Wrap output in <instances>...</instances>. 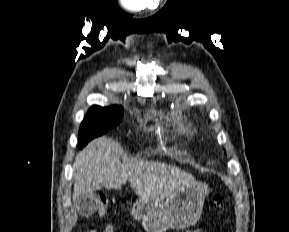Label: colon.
<instances>
[{"label":"colon","mask_w":289,"mask_h":232,"mask_svg":"<svg viewBox=\"0 0 289 232\" xmlns=\"http://www.w3.org/2000/svg\"><path fill=\"white\" fill-rule=\"evenodd\" d=\"M215 202L219 207H222L223 204V197L220 194H217L215 196ZM108 211V199L106 198V196L102 195L100 197V209L99 212L101 214H106ZM104 232H110L108 229H106ZM187 232H204L201 229H195V230H191V231H187Z\"/></svg>","instance_id":"colon-1"}]
</instances>
